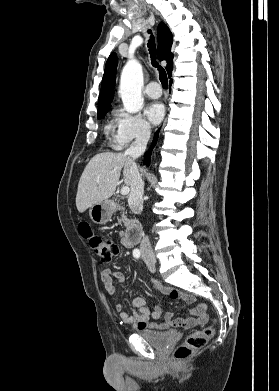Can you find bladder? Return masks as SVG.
Instances as JSON below:
<instances>
[{
    "label": "bladder",
    "mask_w": 279,
    "mask_h": 391,
    "mask_svg": "<svg viewBox=\"0 0 279 391\" xmlns=\"http://www.w3.org/2000/svg\"><path fill=\"white\" fill-rule=\"evenodd\" d=\"M138 335L144 339L151 346L159 349H164L173 343L178 337V331L166 330V331H144L138 332Z\"/></svg>",
    "instance_id": "31cf9c89"
}]
</instances>
